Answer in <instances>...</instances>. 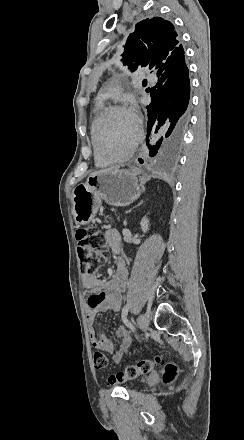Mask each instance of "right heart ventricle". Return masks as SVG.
<instances>
[{
  "instance_id": "1",
  "label": "right heart ventricle",
  "mask_w": 244,
  "mask_h": 440,
  "mask_svg": "<svg viewBox=\"0 0 244 440\" xmlns=\"http://www.w3.org/2000/svg\"><path fill=\"white\" fill-rule=\"evenodd\" d=\"M105 110V106L103 102H98L96 100V104H95V117L94 120L92 122L91 125V131H90V136H91V144L92 147L95 149V143L98 142L95 140V137L97 136L96 134L99 132L97 130V125L99 124V122H102V117H103V112ZM133 128V127H132ZM100 133V132H99ZM102 133V132H101ZM133 133H134V128H133ZM105 134V133H104ZM100 137V136H99ZM102 137V136H101ZM103 138V137H102ZM115 146H111V148H114ZM104 148V147H103ZM105 149V148H104ZM95 162H96V166L99 168H106L109 167L113 164L112 159H107L102 157L98 151L95 152Z\"/></svg>"
}]
</instances>
